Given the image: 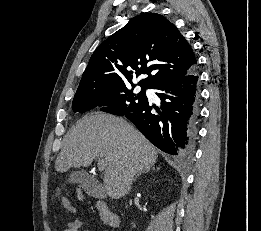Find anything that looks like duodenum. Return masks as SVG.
<instances>
[{
    "instance_id": "410a0bca",
    "label": "duodenum",
    "mask_w": 261,
    "mask_h": 231,
    "mask_svg": "<svg viewBox=\"0 0 261 231\" xmlns=\"http://www.w3.org/2000/svg\"><path fill=\"white\" fill-rule=\"evenodd\" d=\"M98 207L100 210V213L104 219V221L109 224L111 227H118L119 226V218L118 216L109 210V208L106 206L105 203L102 201H99Z\"/></svg>"
}]
</instances>
